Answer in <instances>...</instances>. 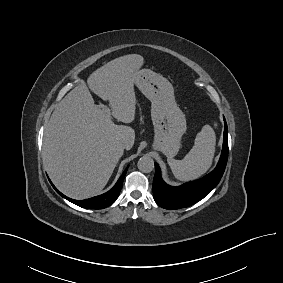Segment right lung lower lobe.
<instances>
[{
    "mask_svg": "<svg viewBox=\"0 0 283 283\" xmlns=\"http://www.w3.org/2000/svg\"><path fill=\"white\" fill-rule=\"evenodd\" d=\"M128 167L126 168V170L123 172V174L121 175V177L119 178V180L117 181V183L115 184V186L109 190L108 192L93 197V198H89L86 200H74L71 198L66 197L65 195H63L61 192H59L55 186L51 183V185L53 186V188L65 199H67L68 201L83 207V208H87V209H103L106 208L110 205H112L116 199L118 198L119 192L123 186V181L126 175Z\"/></svg>",
    "mask_w": 283,
    "mask_h": 283,
    "instance_id": "1",
    "label": "right lung lower lobe"
}]
</instances>
